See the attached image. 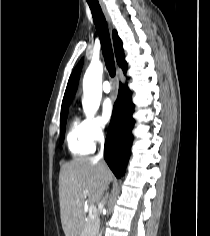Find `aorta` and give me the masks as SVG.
Wrapping results in <instances>:
<instances>
[{
    "label": "aorta",
    "mask_w": 210,
    "mask_h": 236,
    "mask_svg": "<svg viewBox=\"0 0 210 236\" xmlns=\"http://www.w3.org/2000/svg\"><path fill=\"white\" fill-rule=\"evenodd\" d=\"M103 64L92 60L83 78V110L88 117H93L102 98Z\"/></svg>",
    "instance_id": "1"
}]
</instances>
